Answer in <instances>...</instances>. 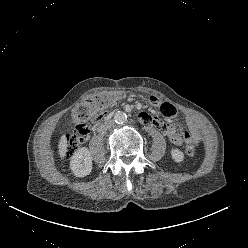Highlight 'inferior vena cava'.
I'll return each mask as SVG.
<instances>
[{
	"label": "inferior vena cava",
	"mask_w": 248,
	"mask_h": 248,
	"mask_svg": "<svg viewBox=\"0 0 248 248\" xmlns=\"http://www.w3.org/2000/svg\"><path fill=\"white\" fill-rule=\"evenodd\" d=\"M114 122L112 120L106 121L100 125V131L104 132L113 126Z\"/></svg>",
	"instance_id": "inferior-vena-cava-1"
}]
</instances>
